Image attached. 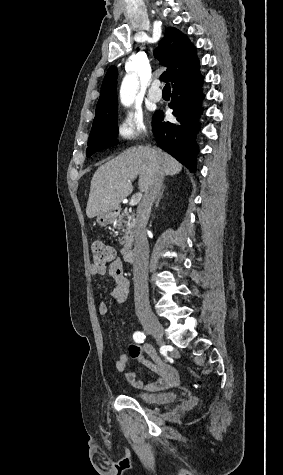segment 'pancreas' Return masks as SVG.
Masks as SVG:
<instances>
[{"label": "pancreas", "instance_id": "pancreas-1", "mask_svg": "<svg viewBox=\"0 0 283 475\" xmlns=\"http://www.w3.org/2000/svg\"><path fill=\"white\" fill-rule=\"evenodd\" d=\"M127 216V222L124 220V214L119 216L118 220H116V226L118 230H122L124 232V236L122 241H120L121 245H123L122 249H120L121 253H126L132 247V241L135 236L134 230V218L133 216Z\"/></svg>", "mask_w": 283, "mask_h": 475}]
</instances>
